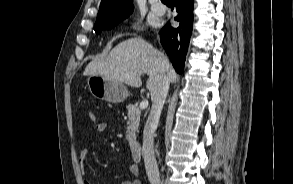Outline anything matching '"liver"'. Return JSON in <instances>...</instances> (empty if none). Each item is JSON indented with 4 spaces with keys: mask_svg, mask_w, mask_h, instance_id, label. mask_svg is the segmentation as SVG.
Here are the masks:
<instances>
[{
    "mask_svg": "<svg viewBox=\"0 0 293 184\" xmlns=\"http://www.w3.org/2000/svg\"><path fill=\"white\" fill-rule=\"evenodd\" d=\"M149 76L146 87L155 93L165 74L170 82L178 79L168 58L141 37L127 39L110 51L108 56L94 59L85 68L84 75H101L140 87L141 75Z\"/></svg>",
    "mask_w": 293,
    "mask_h": 184,
    "instance_id": "liver-1",
    "label": "liver"
}]
</instances>
